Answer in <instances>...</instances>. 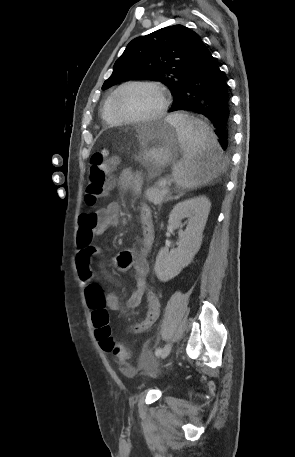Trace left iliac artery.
<instances>
[{"mask_svg":"<svg viewBox=\"0 0 295 457\" xmlns=\"http://www.w3.org/2000/svg\"><path fill=\"white\" fill-rule=\"evenodd\" d=\"M161 353H162V348H158V349L155 351V355H156V356H159Z\"/></svg>","mask_w":295,"mask_h":457,"instance_id":"44dca946","label":"left iliac artery"}]
</instances>
